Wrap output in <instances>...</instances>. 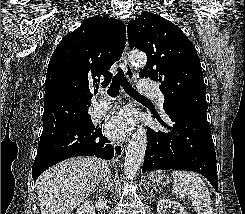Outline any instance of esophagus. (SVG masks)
<instances>
[{
	"label": "esophagus",
	"instance_id": "34e87169",
	"mask_svg": "<svg viewBox=\"0 0 245 214\" xmlns=\"http://www.w3.org/2000/svg\"><path fill=\"white\" fill-rule=\"evenodd\" d=\"M121 61H122L123 71H124L127 79L129 81H133L134 80V72H133V69L130 66L129 62H128V45L127 44H126V47H125V49L123 51ZM113 147H114L115 156L117 158L122 157V155L124 153V145H123V143L115 142L113 144Z\"/></svg>",
	"mask_w": 245,
	"mask_h": 214
}]
</instances>
